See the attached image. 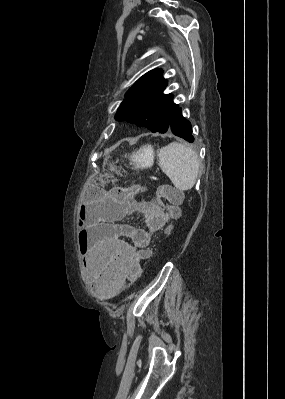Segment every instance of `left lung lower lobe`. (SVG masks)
Listing matches in <instances>:
<instances>
[{
	"instance_id": "0a47b994",
	"label": "left lung lower lobe",
	"mask_w": 285,
	"mask_h": 399,
	"mask_svg": "<svg viewBox=\"0 0 285 399\" xmlns=\"http://www.w3.org/2000/svg\"><path fill=\"white\" fill-rule=\"evenodd\" d=\"M167 131L187 140L188 142L194 141L191 124L182 116L181 108L179 107L174 113Z\"/></svg>"
}]
</instances>
